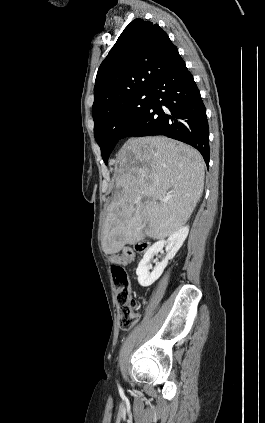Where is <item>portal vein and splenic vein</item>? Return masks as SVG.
Masks as SVG:
<instances>
[{"label": "portal vein and splenic vein", "instance_id": "18ae733b", "mask_svg": "<svg viewBox=\"0 0 265 423\" xmlns=\"http://www.w3.org/2000/svg\"><path fill=\"white\" fill-rule=\"evenodd\" d=\"M168 201V198H164L163 200L160 201V203H166Z\"/></svg>", "mask_w": 265, "mask_h": 423}]
</instances>
